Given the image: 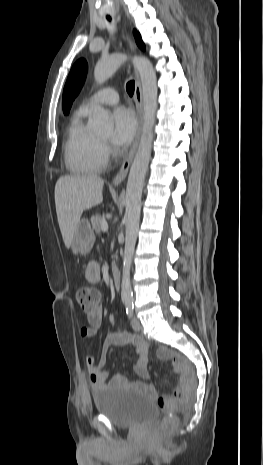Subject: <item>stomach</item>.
I'll return each instance as SVG.
<instances>
[{"label":"stomach","instance_id":"1","mask_svg":"<svg viewBox=\"0 0 263 465\" xmlns=\"http://www.w3.org/2000/svg\"><path fill=\"white\" fill-rule=\"evenodd\" d=\"M95 242V235L86 218L81 219L74 231L71 249L74 254H88Z\"/></svg>","mask_w":263,"mask_h":465}]
</instances>
